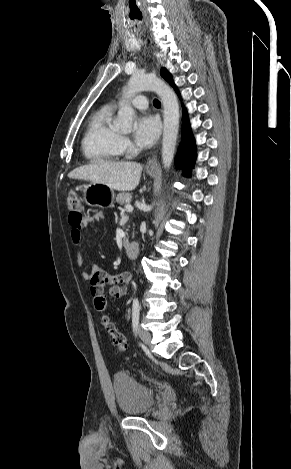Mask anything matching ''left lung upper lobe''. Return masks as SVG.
<instances>
[{"label":"left lung upper lobe","instance_id":"1","mask_svg":"<svg viewBox=\"0 0 291 469\" xmlns=\"http://www.w3.org/2000/svg\"><path fill=\"white\" fill-rule=\"evenodd\" d=\"M161 76L168 81L170 84L173 82L171 74L167 71L166 68L161 69Z\"/></svg>","mask_w":291,"mask_h":469}]
</instances>
